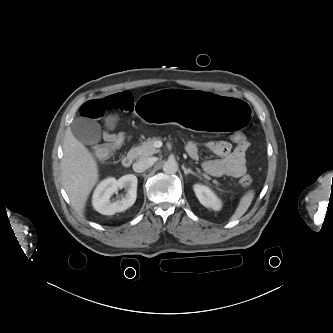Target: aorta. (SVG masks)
Returning <instances> with one entry per match:
<instances>
[{
  "mask_svg": "<svg viewBox=\"0 0 333 333\" xmlns=\"http://www.w3.org/2000/svg\"><path fill=\"white\" fill-rule=\"evenodd\" d=\"M178 166L175 161L168 160L163 165V171L166 174H175L177 172Z\"/></svg>",
  "mask_w": 333,
  "mask_h": 333,
  "instance_id": "aorta-1",
  "label": "aorta"
}]
</instances>
